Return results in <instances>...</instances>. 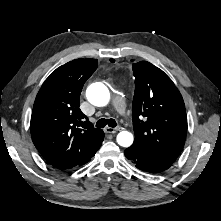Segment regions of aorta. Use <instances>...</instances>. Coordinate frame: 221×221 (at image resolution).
<instances>
[{"label": "aorta", "instance_id": "762f6f07", "mask_svg": "<svg viewBox=\"0 0 221 221\" xmlns=\"http://www.w3.org/2000/svg\"><path fill=\"white\" fill-rule=\"evenodd\" d=\"M88 101L98 107L106 106L110 100L108 88L102 83L91 84L86 91ZM133 135L128 131H121L117 135V143L122 147H129L133 143Z\"/></svg>", "mask_w": 221, "mask_h": 221}]
</instances>
